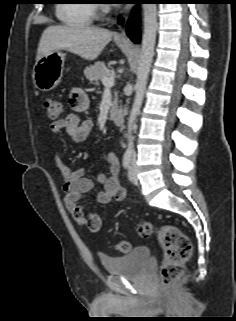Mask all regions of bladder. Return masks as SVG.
Masks as SVG:
<instances>
[{
  "label": "bladder",
  "instance_id": "bladder-1",
  "mask_svg": "<svg viewBox=\"0 0 236 321\" xmlns=\"http://www.w3.org/2000/svg\"><path fill=\"white\" fill-rule=\"evenodd\" d=\"M106 272L125 278L141 277L147 263L150 260V249L146 245L134 248L121 256L100 258Z\"/></svg>",
  "mask_w": 236,
  "mask_h": 321
}]
</instances>
